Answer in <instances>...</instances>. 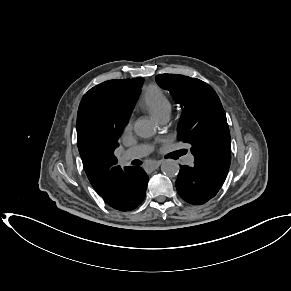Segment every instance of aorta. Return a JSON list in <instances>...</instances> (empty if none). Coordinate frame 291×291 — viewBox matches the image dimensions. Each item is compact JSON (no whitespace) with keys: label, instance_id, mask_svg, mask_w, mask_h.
<instances>
[{"label":"aorta","instance_id":"762f6f07","mask_svg":"<svg viewBox=\"0 0 291 291\" xmlns=\"http://www.w3.org/2000/svg\"><path fill=\"white\" fill-rule=\"evenodd\" d=\"M134 131L142 138H149L155 134V126L150 120L138 119L134 124ZM161 170L167 176H176L179 165L175 160L167 159L162 163Z\"/></svg>","mask_w":291,"mask_h":291}]
</instances>
